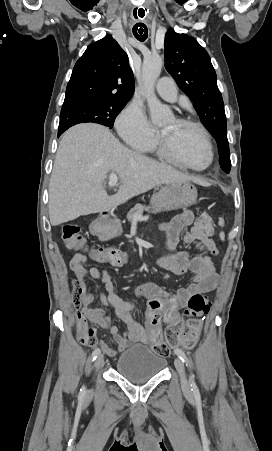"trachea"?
<instances>
[{
  "instance_id": "obj_1",
  "label": "trachea",
  "mask_w": 272,
  "mask_h": 451,
  "mask_svg": "<svg viewBox=\"0 0 272 451\" xmlns=\"http://www.w3.org/2000/svg\"><path fill=\"white\" fill-rule=\"evenodd\" d=\"M138 27H143L144 30H145L144 33L138 34V33H137ZM133 34H134V36L137 38V40L143 42V41L146 40V38H147V36H148V31H147V28H146V26H145L144 24H136V25L134 26V29H133Z\"/></svg>"
}]
</instances>
